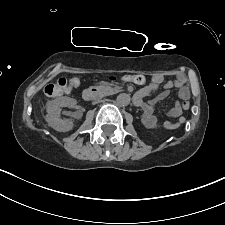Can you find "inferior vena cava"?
<instances>
[{
	"label": "inferior vena cava",
	"instance_id": "602c4592",
	"mask_svg": "<svg viewBox=\"0 0 225 225\" xmlns=\"http://www.w3.org/2000/svg\"><path fill=\"white\" fill-rule=\"evenodd\" d=\"M100 102V99H95L94 101H93V104H96V103H99Z\"/></svg>",
	"mask_w": 225,
	"mask_h": 225
}]
</instances>
